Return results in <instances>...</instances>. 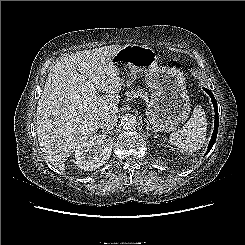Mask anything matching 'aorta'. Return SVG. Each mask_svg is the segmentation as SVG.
Instances as JSON below:
<instances>
[{
  "instance_id": "obj_1",
  "label": "aorta",
  "mask_w": 245,
  "mask_h": 245,
  "mask_svg": "<svg viewBox=\"0 0 245 245\" xmlns=\"http://www.w3.org/2000/svg\"><path fill=\"white\" fill-rule=\"evenodd\" d=\"M121 125L125 130L135 129L137 126V119L132 114H126L121 119Z\"/></svg>"
}]
</instances>
